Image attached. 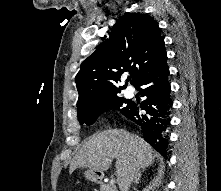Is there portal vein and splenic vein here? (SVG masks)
Listing matches in <instances>:
<instances>
[{"label": "portal vein and splenic vein", "instance_id": "18ae733b", "mask_svg": "<svg viewBox=\"0 0 221 191\" xmlns=\"http://www.w3.org/2000/svg\"><path fill=\"white\" fill-rule=\"evenodd\" d=\"M114 183H115V180H111V181H110V184H114Z\"/></svg>", "mask_w": 221, "mask_h": 191}]
</instances>
